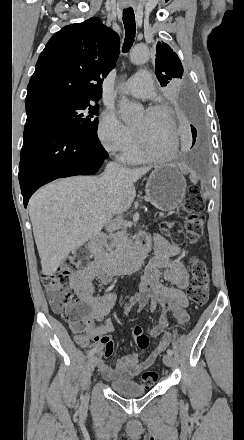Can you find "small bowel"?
Here are the masks:
<instances>
[{"label":"small bowel","mask_w":244,"mask_h":440,"mask_svg":"<svg viewBox=\"0 0 244 440\" xmlns=\"http://www.w3.org/2000/svg\"><path fill=\"white\" fill-rule=\"evenodd\" d=\"M141 236V241L147 246L151 241L153 242L155 257L146 267L140 292L133 297L132 302L143 307L150 301L151 310L160 305L164 311L173 313L179 327H184L189 322L187 313L189 301L184 292L189 284V276L185 267L176 258L181 253V248L159 234H154L152 238L147 234ZM112 277V274L104 271L99 261L89 263L72 273L70 287L77 300L91 308L89 316L91 326L86 327L87 338H74V340L85 350L97 347L93 361L106 380H130L155 362L169 345L173 334L165 332V322L146 329L143 333H148L150 338H158L149 355L143 360L137 354L123 356L116 361L114 366H111L108 360L114 354V342L110 334L113 323L110 319L105 320L101 325L97 322L104 320L111 312L117 299V292L111 289L102 296H95L94 279L98 278L101 284L108 285ZM162 277L169 283L168 286L162 283Z\"/></svg>","instance_id":"1"}]
</instances>
